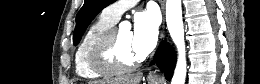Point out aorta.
I'll list each match as a JSON object with an SVG mask.
<instances>
[{"instance_id": "762f6f07", "label": "aorta", "mask_w": 260, "mask_h": 84, "mask_svg": "<svg viewBox=\"0 0 260 84\" xmlns=\"http://www.w3.org/2000/svg\"><path fill=\"white\" fill-rule=\"evenodd\" d=\"M166 22L170 36L178 51L177 64L171 84H184L187 63L181 0L166 1Z\"/></svg>"}]
</instances>
